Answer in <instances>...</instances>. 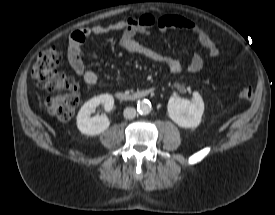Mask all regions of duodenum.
<instances>
[{"mask_svg": "<svg viewBox=\"0 0 275 215\" xmlns=\"http://www.w3.org/2000/svg\"><path fill=\"white\" fill-rule=\"evenodd\" d=\"M154 91V88L137 90L131 93L118 91L116 93V98L121 102H133L150 96Z\"/></svg>", "mask_w": 275, "mask_h": 215, "instance_id": "duodenum-1", "label": "duodenum"}]
</instances>
